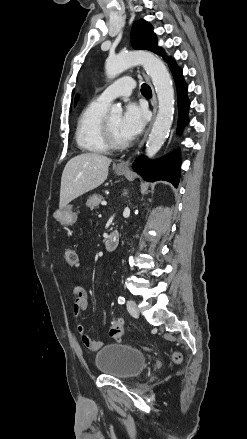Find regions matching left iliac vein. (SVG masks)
Masks as SVG:
<instances>
[{
  "label": "left iliac vein",
  "mask_w": 247,
  "mask_h": 439,
  "mask_svg": "<svg viewBox=\"0 0 247 439\" xmlns=\"http://www.w3.org/2000/svg\"><path fill=\"white\" fill-rule=\"evenodd\" d=\"M126 307H127L128 312L130 313V315H132L133 317L139 316V311H138L137 304L135 303V301L128 300L126 303Z\"/></svg>",
  "instance_id": "left-iliac-vein-1"
}]
</instances>
